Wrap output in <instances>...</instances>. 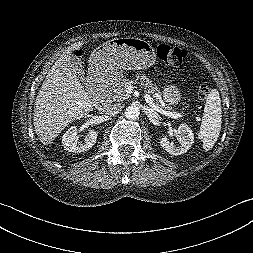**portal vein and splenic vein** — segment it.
<instances>
[{
	"instance_id": "18ae733b",
	"label": "portal vein and splenic vein",
	"mask_w": 253,
	"mask_h": 253,
	"mask_svg": "<svg viewBox=\"0 0 253 253\" xmlns=\"http://www.w3.org/2000/svg\"><path fill=\"white\" fill-rule=\"evenodd\" d=\"M132 91H133V87L132 86H128L126 88V92L127 93H131ZM144 98H145L146 102L148 103V105L150 107H152L154 110H156L157 112H159V113H161L163 115L169 116V117L174 118V119H177L179 117H183V115L180 114V113H177V112H168V111H165V110L157 107L155 105V103L153 102L152 98L150 97V95H148V94H145Z\"/></svg>"
}]
</instances>
